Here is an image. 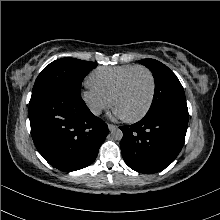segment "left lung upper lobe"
Segmentation results:
<instances>
[{"label": "left lung upper lobe", "instance_id": "left-lung-upper-lobe-1", "mask_svg": "<svg viewBox=\"0 0 220 220\" xmlns=\"http://www.w3.org/2000/svg\"><path fill=\"white\" fill-rule=\"evenodd\" d=\"M139 62L153 72L155 80L153 102L145 117L158 113H170L188 120L185 93L177 76L157 60L143 59Z\"/></svg>", "mask_w": 220, "mask_h": 220}]
</instances>
